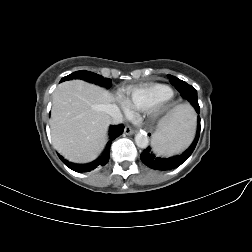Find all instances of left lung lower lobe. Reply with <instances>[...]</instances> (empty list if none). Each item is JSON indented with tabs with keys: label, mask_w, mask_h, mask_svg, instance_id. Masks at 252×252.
<instances>
[{
	"label": "left lung lower lobe",
	"mask_w": 252,
	"mask_h": 252,
	"mask_svg": "<svg viewBox=\"0 0 252 252\" xmlns=\"http://www.w3.org/2000/svg\"><path fill=\"white\" fill-rule=\"evenodd\" d=\"M176 89L180 92L181 96L184 99H187L196 109L197 113L200 112V107L197 99V91L192 86L188 85L184 81H180L174 85ZM200 135V117H198V126L195 140L191 146L181 155L169 157V158H160L156 156L150 147H147L140 155L142 162L147 165L149 168L154 170H170L180 166L184 163L194 151L196 144L198 142Z\"/></svg>",
	"instance_id": "obj_1"
}]
</instances>
